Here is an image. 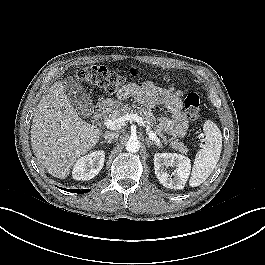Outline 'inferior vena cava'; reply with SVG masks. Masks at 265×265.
<instances>
[{"mask_svg": "<svg viewBox=\"0 0 265 265\" xmlns=\"http://www.w3.org/2000/svg\"><path fill=\"white\" fill-rule=\"evenodd\" d=\"M103 137L106 139V140H115L119 137V134L118 133H115V132H105V134L103 135Z\"/></svg>", "mask_w": 265, "mask_h": 265, "instance_id": "602c4592", "label": "inferior vena cava"}]
</instances>
